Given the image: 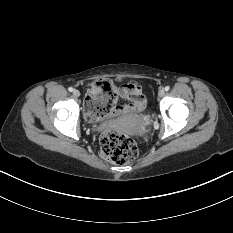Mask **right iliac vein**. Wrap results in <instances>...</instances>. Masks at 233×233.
Masks as SVG:
<instances>
[{
    "label": "right iliac vein",
    "instance_id": "obj_1",
    "mask_svg": "<svg viewBox=\"0 0 233 233\" xmlns=\"http://www.w3.org/2000/svg\"><path fill=\"white\" fill-rule=\"evenodd\" d=\"M73 95H74L75 97H79V96H80L79 90H74V91H73Z\"/></svg>",
    "mask_w": 233,
    "mask_h": 233
}]
</instances>
